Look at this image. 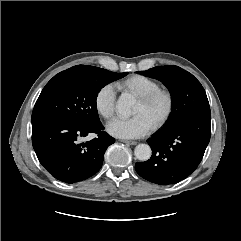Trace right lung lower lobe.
Returning <instances> with one entry per match:
<instances>
[{
	"label": "right lung lower lobe",
	"instance_id": "right-lung-lower-lobe-1",
	"mask_svg": "<svg viewBox=\"0 0 241 241\" xmlns=\"http://www.w3.org/2000/svg\"><path fill=\"white\" fill-rule=\"evenodd\" d=\"M103 129L101 123L83 126L61 120L38 122L32 124V144L39 162L54 178L76 183L100 170L107 147L115 142ZM89 133L98 136L79 143Z\"/></svg>",
	"mask_w": 241,
	"mask_h": 241
}]
</instances>
